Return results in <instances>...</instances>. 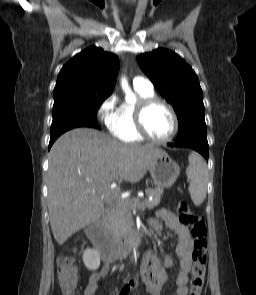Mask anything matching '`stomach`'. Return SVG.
Listing matches in <instances>:
<instances>
[{
  "label": "stomach",
  "instance_id": "0dacf381",
  "mask_svg": "<svg viewBox=\"0 0 256 295\" xmlns=\"http://www.w3.org/2000/svg\"><path fill=\"white\" fill-rule=\"evenodd\" d=\"M154 184L170 188L180 174L179 165L166 153L160 154L149 168Z\"/></svg>",
  "mask_w": 256,
  "mask_h": 295
}]
</instances>
